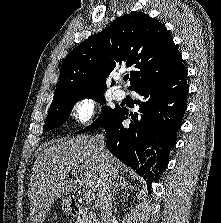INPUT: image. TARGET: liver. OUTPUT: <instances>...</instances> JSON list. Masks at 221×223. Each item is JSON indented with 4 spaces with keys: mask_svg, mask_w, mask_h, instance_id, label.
Wrapping results in <instances>:
<instances>
[{
    "mask_svg": "<svg viewBox=\"0 0 221 223\" xmlns=\"http://www.w3.org/2000/svg\"><path fill=\"white\" fill-rule=\"evenodd\" d=\"M120 167L119 160L109 151L104 159L99 156L95 138L89 135L44 147L34 162L28 188L31 223H43L53 202L81 185L99 191L103 168L113 179L122 178ZM73 175L76 180L70 179Z\"/></svg>",
    "mask_w": 221,
    "mask_h": 223,
    "instance_id": "liver-1",
    "label": "liver"
}]
</instances>
